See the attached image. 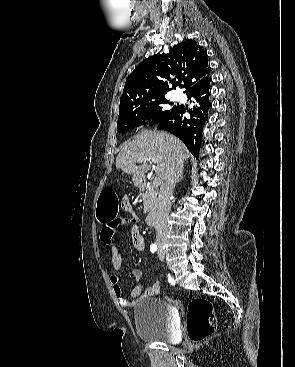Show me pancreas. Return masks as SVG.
Wrapping results in <instances>:
<instances>
[{
	"instance_id": "obj_1",
	"label": "pancreas",
	"mask_w": 295,
	"mask_h": 367,
	"mask_svg": "<svg viewBox=\"0 0 295 367\" xmlns=\"http://www.w3.org/2000/svg\"><path fill=\"white\" fill-rule=\"evenodd\" d=\"M144 213H151L157 207V191L156 186L151 185L143 194Z\"/></svg>"
}]
</instances>
